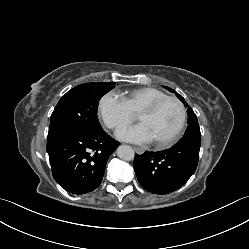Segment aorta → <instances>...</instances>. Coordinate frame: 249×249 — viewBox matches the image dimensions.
Returning a JSON list of instances; mask_svg holds the SVG:
<instances>
[{
    "instance_id": "aorta-1",
    "label": "aorta",
    "mask_w": 249,
    "mask_h": 249,
    "mask_svg": "<svg viewBox=\"0 0 249 249\" xmlns=\"http://www.w3.org/2000/svg\"><path fill=\"white\" fill-rule=\"evenodd\" d=\"M117 155L124 161H131L134 159V150L128 145H120L117 148Z\"/></svg>"
}]
</instances>
